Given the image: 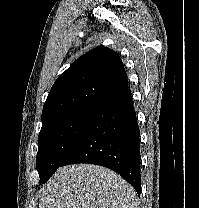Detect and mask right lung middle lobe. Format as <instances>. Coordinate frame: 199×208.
Returning a JSON list of instances; mask_svg holds the SVG:
<instances>
[{
    "mask_svg": "<svg viewBox=\"0 0 199 208\" xmlns=\"http://www.w3.org/2000/svg\"><path fill=\"white\" fill-rule=\"evenodd\" d=\"M99 109L98 106L72 108L42 121L36 158L42 183L61 166Z\"/></svg>",
    "mask_w": 199,
    "mask_h": 208,
    "instance_id": "dd1d6c3e",
    "label": "right lung middle lobe"
}]
</instances>
